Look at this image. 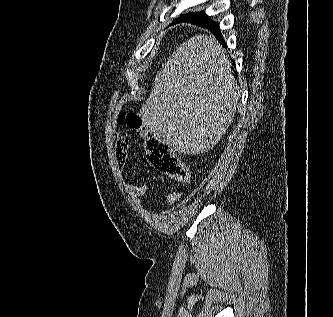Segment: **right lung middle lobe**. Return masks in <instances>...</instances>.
<instances>
[{"label": "right lung middle lobe", "instance_id": "dd1d6c3e", "mask_svg": "<svg viewBox=\"0 0 333 317\" xmlns=\"http://www.w3.org/2000/svg\"><path fill=\"white\" fill-rule=\"evenodd\" d=\"M202 14H205L204 11L201 12V13H193V14L183 15V16H180V18H178L177 20H175L174 23L178 22V21H181V20H184L186 18H191V17H194V16L202 15Z\"/></svg>", "mask_w": 333, "mask_h": 317}]
</instances>
